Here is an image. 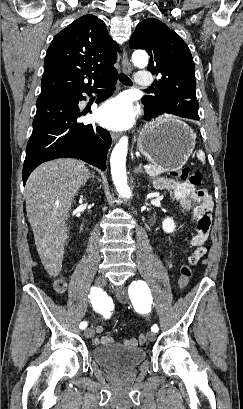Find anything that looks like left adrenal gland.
<instances>
[{"label": "left adrenal gland", "instance_id": "a2214340", "mask_svg": "<svg viewBox=\"0 0 243 409\" xmlns=\"http://www.w3.org/2000/svg\"><path fill=\"white\" fill-rule=\"evenodd\" d=\"M142 172H143L142 165L139 164V166L135 169V173L138 174V173H142Z\"/></svg>", "mask_w": 243, "mask_h": 409}]
</instances>
